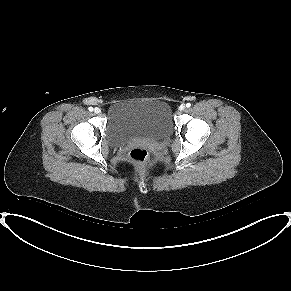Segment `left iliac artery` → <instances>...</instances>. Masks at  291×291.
I'll use <instances>...</instances> for the list:
<instances>
[{"instance_id":"1","label":"left iliac artery","mask_w":291,"mask_h":291,"mask_svg":"<svg viewBox=\"0 0 291 291\" xmlns=\"http://www.w3.org/2000/svg\"><path fill=\"white\" fill-rule=\"evenodd\" d=\"M190 106H191V104H190V103H187V104H186V107H187V108H189Z\"/></svg>"}]
</instances>
